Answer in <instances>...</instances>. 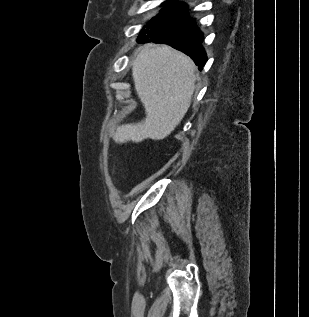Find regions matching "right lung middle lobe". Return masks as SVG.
Returning <instances> with one entry per match:
<instances>
[{"instance_id":"1","label":"right lung middle lobe","mask_w":309,"mask_h":317,"mask_svg":"<svg viewBox=\"0 0 309 317\" xmlns=\"http://www.w3.org/2000/svg\"><path fill=\"white\" fill-rule=\"evenodd\" d=\"M171 3H172V0H168V1H165L164 3H162L161 6H167Z\"/></svg>"}]
</instances>
